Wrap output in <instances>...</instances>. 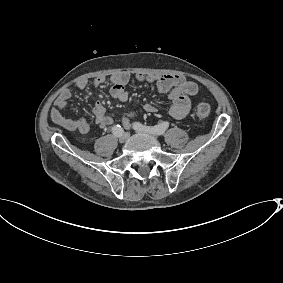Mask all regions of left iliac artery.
Returning a JSON list of instances; mask_svg holds the SVG:
<instances>
[{
  "label": "left iliac artery",
  "mask_w": 283,
  "mask_h": 283,
  "mask_svg": "<svg viewBox=\"0 0 283 283\" xmlns=\"http://www.w3.org/2000/svg\"><path fill=\"white\" fill-rule=\"evenodd\" d=\"M133 127L142 130V131H146L152 134H157V135H163L166 131V129L169 127V123L168 122H163L162 124L156 125V126H146L143 125L139 122H134L133 123Z\"/></svg>",
  "instance_id": "1"
}]
</instances>
